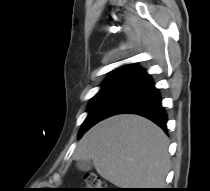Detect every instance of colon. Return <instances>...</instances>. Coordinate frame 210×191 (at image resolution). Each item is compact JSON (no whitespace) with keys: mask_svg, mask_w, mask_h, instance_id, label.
Segmentation results:
<instances>
[{"mask_svg":"<svg viewBox=\"0 0 210 191\" xmlns=\"http://www.w3.org/2000/svg\"><path fill=\"white\" fill-rule=\"evenodd\" d=\"M85 188L82 191H112L100 176L88 173L85 175Z\"/></svg>","mask_w":210,"mask_h":191,"instance_id":"colon-1","label":"colon"}]
</instances>
